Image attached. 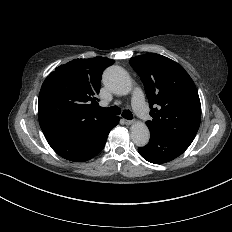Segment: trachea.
Returning <instances> with one entry per match:
<instances>
[{
	"label": "trachea",
	"mask_w": 232,
	"mask_h": 232,
	"mask_svg": "<svg viewBox=\"0 0 232 232\" xmlns=\"http://www.w3.org/2000/svg\"><path fill=\"white\" fill-rule=\"evenodd\" d=\"M99 111L111 114V115H119L121 113L120 109L117 106H111L109 108H103L98 106L97 108ZM122 116L125 119L131 120L133 118L132 112L129 110H124Z\"/></svg>",
	"instance_id": "obj_1"
}]
</instances>
